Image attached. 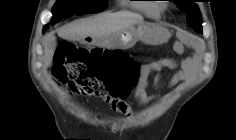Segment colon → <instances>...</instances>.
<instances>
[{
  "label": "colon",
  "mask_w": 236,
  "mask_h": 140,
  "mask_svg": "<svg viewBox=\"0 0 236 140\" xmlns=\"http://www.w3.org/2000/svg\"><path fill=\"white\" fill-rule=\"evenodd\" d=\"M141 71L138 62L123 51L86 49L68 41L60 43L52 68L54 79L71 92L100 96L111 104L130 94Z\"/></svg>",
  "instance_id": "colon-1"
}]
</instances>
